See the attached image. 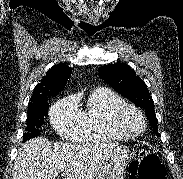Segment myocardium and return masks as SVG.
Masks as SVG:
<instances>
[{
    "mask_svg": "<svg viewBox=\"0 0 183 179\" xmlns=\"http://www.w3.org/2000/svg\"><path fill=\"white\" fill-rule=\"evenodd\" d=\"M128 111L135 112L141 119L142 126H141V129L139 131H137V132H134V133L128 132L122 126V119H123L124 115ZM110 124H111V127L113 128V130L117 134L122 136L123 138H134V137H137V136L141 135L145 131L146 126H147L145 115L143 114L141 109L138 108L137 106H135L133 104H129V103H124V104L118 106L112 112L111 117H110Z\"/></svg>",
    "mask_w": 183,
    "mask_h": 179,
    "instance_id": "f54148a6",
    "label": "myocardium"
}]
</instances>
